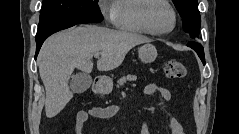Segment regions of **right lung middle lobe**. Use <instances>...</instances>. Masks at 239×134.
<instances>
[{"instance_id": "1", "label": "right lung middle lobe", "mask_w": 239, "mask_h": 134, "mask_svg": "<svg viewBox=\"0 0 239 134\" xmlns=\"http://www.w3.org/2000/svg\"><path fill=\"white\" fill-rule=\"evenodd\" d=\"M102 20L98 0H43L36 38L65 24Z\"/></svg>"}]
</instances>
